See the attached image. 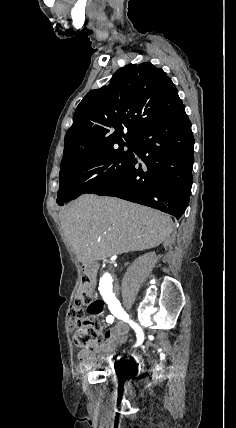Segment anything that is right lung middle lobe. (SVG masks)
I'll return each mask as SVG.
<instances>
[{
    "mask_svg": "<svg viewBox=\"0 0 236 428\" xmlns=\"http://www.w3.org/2000/svg\"><path fill=\"white\" fill-rule=\"evenodd\" d=\"M114 145L118 148L114 149ZM114 145L60 170L58 205L63 206L81 194L97 192L132 164L134 141L126 140ZM124 146L128 147L126 152Z\"/></svg>",
    "mask_w": 236,
    "mask_h": 428,
    "instance_id": "1",
    "label": "right lung middle lobe"
}]
</instances>
